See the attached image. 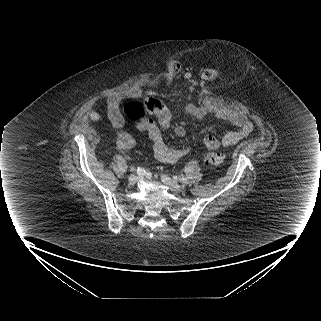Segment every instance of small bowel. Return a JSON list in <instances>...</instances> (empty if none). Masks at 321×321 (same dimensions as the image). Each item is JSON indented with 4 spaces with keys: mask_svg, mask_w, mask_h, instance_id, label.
<instances>
[{
    "mask_svg": "<svg viewBox=\"0 0 321 321\" xmlns=\"http://www.w3.org/2000/svg\"><path fill=\"white\" fill-rule=\"evenodd\" d=\"M132 96L131 92H118L107 99V113L111 124L116 128H122L125 120L120 113V102ZM145 110L149 118L137 128L145 132L152 141V148L155 158L164 164H172L188 153L185 148H169L164 143L160 128H169L172 122V111L163 101L157 98H150L145 102ZM210 112L207 105H188L183 113L196 119L204 118ZM215 116L222 121L229 122L237 127L236 130L225 133L222 137L207 134L204 137V144L209 149H217L221 146H231L238 141L248 137L253 131V124L243 113L230 109H217ZM174 133L178 137H184L186 130L183 126L177 125ZM121 150H129L136 145L135 137L129 132H122L117 140Z\"/></svg>",
    "mask_w": 321,
    "mask_h": 321,
    "instance_id": "small-bowel-1",
    "label": "small bowel"
}]
</instances>
